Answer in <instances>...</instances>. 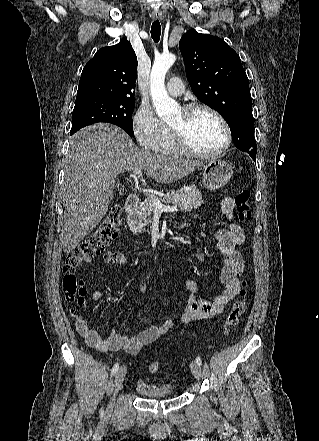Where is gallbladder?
Masks as SVG:
<instances>
[{
	"label": "gallbladder",
	"mask_w": 319,
	"mask_h": 441,
	"mask_svg": "<svg viewBox=\"0 0 319 441\" xmlns=\"http://www.w3.org/2000/svg\"><path fill=\"white\" fill-rule=\"evenodd\" d=\"M116 188L118 189V191H119L120 193H122V192H123V190H124V187H123V185H122V184H120V183H118V184L116 185Z\"/></svg>",
	"instance_id": "gallbladder-1"
}]
</instances>
